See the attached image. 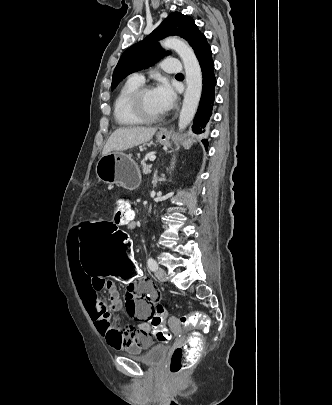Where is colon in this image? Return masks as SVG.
Masks as SVG:
<instances>
[{
	"instance_id": "obj_1",
	"label": "colon",
	"mask_w": 332,
	"mask_h": 405,
	"mask_svg": "<svg viewBox=\"0 0 332 405\" xmlns=\"http://www.w3.org/2000/svg\"><path fill=\"white\" fill-rule=\"evenodd\" d=\"M115 214L118 220L128 221L135 215V207L126 196L116 198ZM79 262H84L86 275H106L108 281H118L120 287H129L138 282L140 267L133 261L131 234L115 225L114 220H80ZM140 275V274H139ZM148 288H156L149 286ZM149 323L152 338L156 342H168L169 327L164 322L170 315L167 303H161L152 311ZM209 316L202 311H194L179 318V325L186 329L199 326L208 330ZM143 338V337H142ZM203 336L198 333L189 335L185 344L174 348L170 359V372L178 376L188 369L199 357Z\"/></svg>"
}]
</instances>
